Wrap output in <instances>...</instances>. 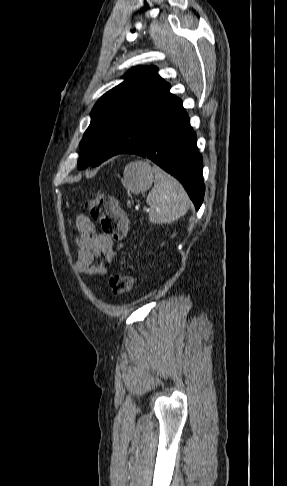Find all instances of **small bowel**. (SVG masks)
<instances>
[{
	"label": "small bowel",
	"mask_w": 287,
	"mask_h": 486,
	"mask_svg": "<svg viewBox=\"0 0 287 486\" xmlns=\"http://www.w3.org/2000/svg\"><path fill=\"white\" fill-rule=\"evenodd\" d=\"M78 236L75 238L77 256L75 270L85 277H102L108 272L107 264L111 263L116 252L113 239L99 233L86 215H78L75 220Z\"/></svg>",
	"instance_id": "obj_1"
}]
</instances>
